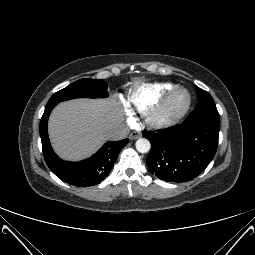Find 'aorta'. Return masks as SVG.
Listing matches in <instances>:
<instances>
[{"mask_svg":"<svg viewBox=\"0 0 255 255\" xmlns=\"http://www.w3.org/2000/svg\"><path fill=\"white\" fill-rule=\"evenodd\" d=\"M136 149L139 153H147L151 149V143L148 139L146 138H139L136 141Z\"/></svg>","mask_w":255,"mask_h":255,"instance_id":"aorta-1","label":"aorta"}]
</instances>
